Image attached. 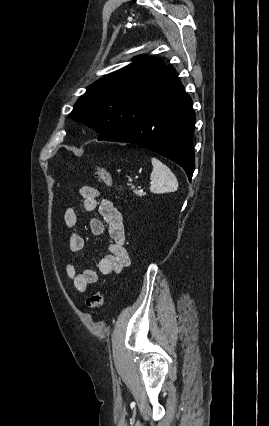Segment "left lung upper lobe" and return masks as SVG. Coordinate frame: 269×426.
<instances>
[{
    "label": "left lung upper lobe",
    "mask_w": 269,
    "mask_h": 426,
    "mask_svg": "<svg viewBox=\"0 0 269 426\" xmlns=\"http://www.w3.org/2000/svg\"><path fill=\"white\" fill-rule=\"evenodd\" d=\"M164 67L159 58L137 57L128 66L89 86L69 117L96 130L100 134L98 140L109 138L133 95L148 86Z\"/></svg>",
    "instance_id": "obj_1"
}]
</instances>
